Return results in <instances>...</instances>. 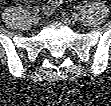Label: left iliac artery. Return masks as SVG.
<instances>
[{
	"mask_svg": "<svg viewBox=\"0 0 111 106\" xmlns=\"http://www.w3.org/2000/svg\"><path fill=\"white\" fill-rule=\"evenodd\" d=\"M75 9H76V10H79V9H80V6H76Z\"/></svg>",
	"mask_w": 111,
	"mask_h": 106,
	"instance_id": "obj_1",
	"label": "left iliac artery"
}]
</instances>
